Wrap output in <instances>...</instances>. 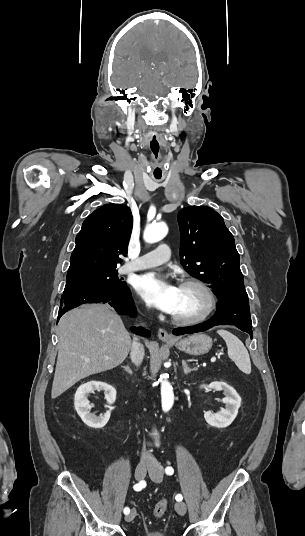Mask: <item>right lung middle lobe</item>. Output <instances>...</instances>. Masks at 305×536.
<instances>
[{"instance_id":"obj_1","label":"right lung middle lobe","mask_w":305,"mask_h":536,"mask_svg":"<svg viewBox=\"0 0 305 536\" xmlns=\"http://www.w3.org/2000/svg\"><path fill=\"white\" fill-rule=\"evenodd\" d=\"M66 279L64 292L86 290L112 294L121 292L127 288L126 283L121 282V280L118 279L117 270H109Z\"/></svg>"}]
</instances>
